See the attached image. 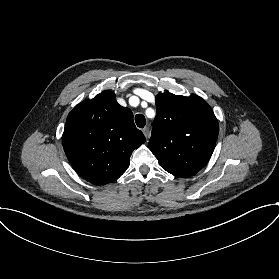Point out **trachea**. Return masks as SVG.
Returning <instances> with one entry per match:
<instances>
[{"mask_svg": "<svg viewBox=\"0 0 279 279\" xmlns=\"http://www.w3.org/2000/svg\"><path fill=\"white\" fill-rule=\"evenodd\" d=\"M135 122L138 127L143 128L146 125V119L143 115L138 114L135 116Z\"/></svg>", "mask_w": 279, "mask_h": 279, "instance_id": "obj_1", "label": "trachea"}]
</instances>
